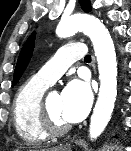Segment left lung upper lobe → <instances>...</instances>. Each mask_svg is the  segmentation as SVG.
<instances>
[{
	"instance_id": "left-lung-upper-lobe-1",
	"label": "left lung upper lobe",
	"mask_w": 131,
	"mask_h": 151,
	"mask_svg": "<svg viewBox=\"0 0 131 151\" xmlns=\"http://www.w3.org/2000/svg\"><path fill=\"white\" fill-rule=\"evenodd\" d=\"M80 4L82 9L85 12H89L91 10L90 1L89 0H80ZM34 40H35V32L32 33L29 38L27 39L26 43L24 44L14 72V79H13V85H15L20 77L22 76L23 72L25 71L32 53L34 49Z\"/></svg>"
}]
</instances>
